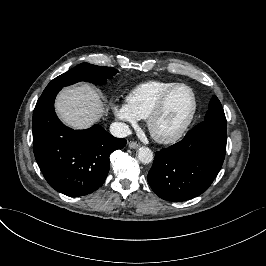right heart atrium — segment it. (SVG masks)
I'll return each mask as SVG.
<instances>
[{
	"instance_id": "right-heart-atrium-1",
	"label": "right heart atrium",
	"mask_w": 266,
	"mask_h": 266,
	"mask_svg": "<svg viewBox=\"0 0 266 266\" xmlns=\"http://www.w3.org/2000/svg\"><path fill=\"white\" fill-rule=\"evenodd\" d=\"M113 112L118 118L130 124H136L138 121V118L127 103L113 104Z\"/></svg>"
}]
</instances>
